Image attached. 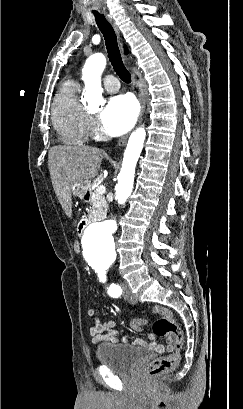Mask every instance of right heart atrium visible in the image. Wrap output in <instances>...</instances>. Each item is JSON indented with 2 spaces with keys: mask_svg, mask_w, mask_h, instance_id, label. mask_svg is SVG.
<instances>
[{
  "mask_svg": "<svg viewBox=\"0 0 243 409\" xmlns=\"http://www.w3.org/2000/svg\"><path fill=\"white\" fill-rule=\"evenodd\" d=\"M88 133L90 138H96L99 134L95 121L90 117H88Z\"/></svg>",
  "mask_w": 243,
  "mask_h": 409,
  "instance_id": "d8ad5b80",
  "label": "right heart atrium"
}]
</instances>
